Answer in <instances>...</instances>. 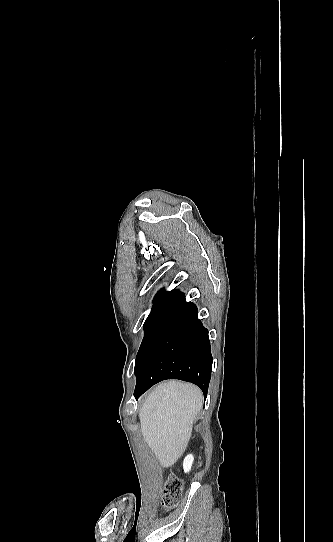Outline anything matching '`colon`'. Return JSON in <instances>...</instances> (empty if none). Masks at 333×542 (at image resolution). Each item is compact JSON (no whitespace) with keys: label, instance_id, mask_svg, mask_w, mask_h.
Here are the masks:
<instances>
[{"label":"colon","instance_id":"obj_1","mask_svg":"<svg viewBox=\"0 0 333 542\" xmlns=\"http://www.w3.org/2000/svg\"><path fill=\"white\" fill-rule=\"evenodd\" d=\"M181 496V481L174 475L168 476L162 495V507L165 509L176 507L181 501Z\"/></svg>","mask_w":333,"mask_h":542}]
</instances>
